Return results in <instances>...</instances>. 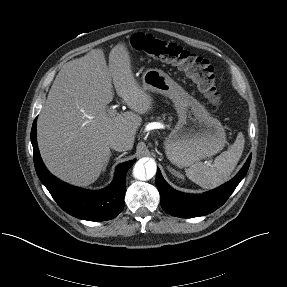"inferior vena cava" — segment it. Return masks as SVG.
I'll list each match as a JSON object with an SVG mask.
<instances>
[{"label":"inferior vena cava","instance_id":"obj_1","mask_svg":"<svg viewBox=\"0 0 287 287\" xmlns=\"http://www.w3.org/2000/svg\"><path fill=\"white\" fill-rule=\"evenodd\" d=\"M109 146L119 152L129 150V145L127 142L124 139L118 137L112 138L109 142Z\"/></svg>","mask_w":287,"mask_h":287}]
</instances>
